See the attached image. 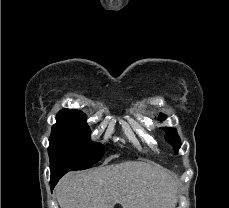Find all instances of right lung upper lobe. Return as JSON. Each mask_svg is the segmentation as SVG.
<instances>
[{
    "mask_svg": "<svg viewBox=\"0 0 229 208\" xmlns=\"http://www.w3.org/2000/svg\"><path fill=\"white\" fill-rule=\"evenodd\" d=\"M58 114L71 115V116H77V117H84V118H86V114H84L83 112H81L79 110L64 109V110H61Z\"/></svg>",
    "mask_w": 229,
    "mask_h": 208,
    "instance_id": "1",
    "label": "right lung upper lobe"
}]
</instances>
